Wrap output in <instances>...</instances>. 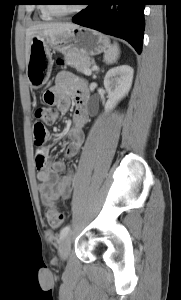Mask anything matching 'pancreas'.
I'll list each match as a JSON object with an SVG mask.
<instances>
[{
	"instance_id": "obj_1",
	"label": "pancreas",
	"mask_w": 181,
	"mask_h": 300,
	"mask_svg": "<svg viewBox=\"0 0 181 300\" xmlns=\"http://www.w3.org/2000/svg\"><path fill=\"white\" fill-rule=\"evenodd\" d=\"M65 62L81 73L90 67V59L75 51H69L65 54Z\"/></svg>"
}]
</instances>
